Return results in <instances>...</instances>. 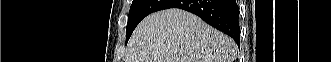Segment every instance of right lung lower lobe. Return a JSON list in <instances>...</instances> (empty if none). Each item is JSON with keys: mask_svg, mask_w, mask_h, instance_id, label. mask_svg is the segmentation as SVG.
Returning <instances> with one entry per match:
<instances>
[{"mask_svg": "<svg viewBox=\"0 0 331 62\" xmlns=\"http://www.w3.org/2000/svg\"><path fill=\"white\" fill-rule=\"evenodd\" d=\"M169 8L183 9L199 16L232 37L240 46L239 7L236 0H171L163 9Z\"/></svg>", "mask_w": 331, "mask_h": 62, "instance_id": "1", "label": "right lung lower lobe"}]
</instances>
